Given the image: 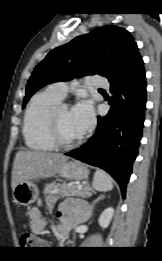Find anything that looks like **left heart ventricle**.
<instances>
[{"mask_svg":"<svg viewBox=\"0 0 162 261\" xmlns=\"http://www.w3.org/2000/svg\"><path fill=\"white\" fill-rule=\"evenodd\" d=\"M57 123L61 137L66 141H73L82 134L75 126L70 111L67 108H61L58 112Z\"/></svg>","mask_w":162,"mask_h":261,"instance_id":"1","label":"left heart ventricle"}]
</instances>
